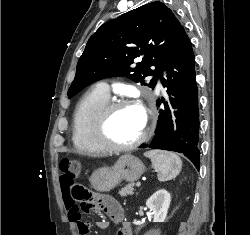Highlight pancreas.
Listing matches in <instances>:
<instances>
[{
  "label": "pancreas",
  "mask_w": 250,
  "mask_h": 235,
  "mask_svg": "<svg viewBox=\"0 0 250 235\" xmlns=\"http://www.w3.org/2000/svg\"><path fill=\"white\" fill-rule=\"evenodd\" d=\"M119 194L123 197H126L128 195H133L134 194V185L128 184L125 187L121 188V190L119 191Z\"/></svg>",
  "instance_id": "obj_1"
}]
</instances>
